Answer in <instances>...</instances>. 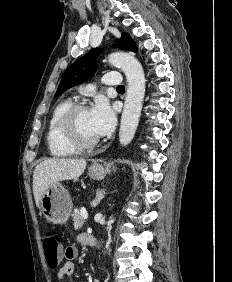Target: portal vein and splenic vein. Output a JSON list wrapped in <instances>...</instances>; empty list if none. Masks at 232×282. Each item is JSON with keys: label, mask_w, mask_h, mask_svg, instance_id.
I'll use <instances>...</instances> for the list:
<instances>
[{"label": "portal vein and splenic vein", "mask_w": 232, "mask_h": 282, "mask_svg": "<svg viewBox=\"0 0 232 282\" xmlns=\"http://www.w3.org/2000/svg\"><path fill=\"white\" fill-rule=\"evenodd\" d=\"M80 213H81V216L83 217V219H87L88 218V213H87L85 208H82L80 210Z\"/></svg>", "instance_id": "portal-vein-and-splenic-vein-1"}]
</instances>
